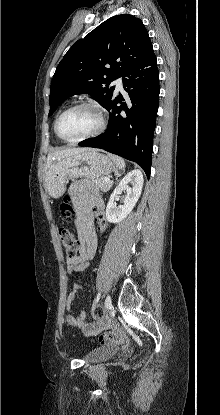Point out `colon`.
Segmentation results:
<instances>
[{"label":"colon","mask_w":220,"mask_h":415,"mask_svg":"<svg viewBox=\"0 0 220 415\" xmlns=\"http://www.w3.org/2000/svg\"><path fill=\"white\" fill-rule=\"evenodd\" d=\"M60 212L63 217H66V218L70 217L72 213V207L70 206L67 200L61 204ZM98 214L101 215L102 213L99 211ZM59 238H60L63 248L65 249L67 257L71 260L76 259L79 253V244L75 236L73 235V233L66 227H60ZM107 337L114 338L113 335L110 333H106L105 335H102V338L104 339Z\"/></svg>","instance_id":"1"}]
</instances>
